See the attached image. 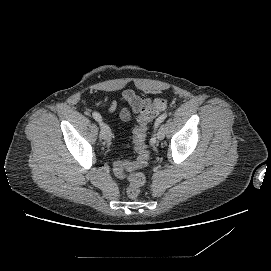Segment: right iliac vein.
<instances>
[{
  "mask_svg": "<svg viewBox=\"0 0 271 271\" xmlns=\"http://www.w3.org/2000/svg\"><path fill=\"white\" fill-rule=\"evenodd\" d=\"M100 126H101V133H102L103 139L106 142H109L111 140V130H110V128L104 123H101Z\"/></svg>",
  "mask_w": 271,
  "mask_h": 271,
  "instance_id": "1",
  "label": "right iliac vein"
}]
</instances>
